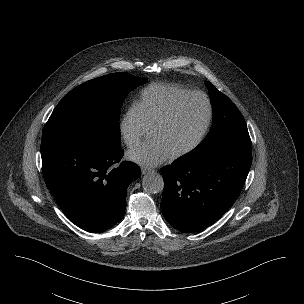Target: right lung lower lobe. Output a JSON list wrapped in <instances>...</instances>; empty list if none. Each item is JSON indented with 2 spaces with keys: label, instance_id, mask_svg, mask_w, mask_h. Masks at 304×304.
Segmentation results:
<instances>
[{
  "label": "right lung lower lobe",
  "instance_id": "98d812e1",
  "mask_svg": "<svg viewBox=\"0 0 304 304\" xmlns=\"http://www.w3.org/2000/svg\"><path fill=\"white\" fill-rule=\"evenodd\" d=\"M121 148L68 138L41 144L43 176L63 213L88 232L117 224L126 208V190L140 168Z\"/></svg>",
  "mask_w": 304,
  "mask_h": 304
}]
</instances>
